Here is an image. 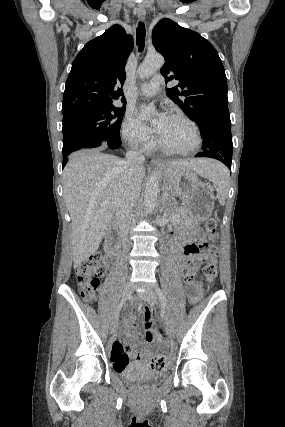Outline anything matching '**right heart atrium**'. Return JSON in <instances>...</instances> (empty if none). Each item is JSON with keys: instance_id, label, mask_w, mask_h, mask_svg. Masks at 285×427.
<instances>
[{"instance_id": "obj_1", "label": "right heart atrium", "mask_w": 285, "mask_h": 427, "mask_svg": "<svg viewBox=\"0 0 285 427\" xmlns=\"http://www.w3.org/2000/svg\"><path fill=\"white\" fill-rule=\"evenodd\" d=\"M122 133L126 142L134 148L146 151L154 145V138L149 129L131 113L124 119Z\"/></svg>"}]
</instances>
